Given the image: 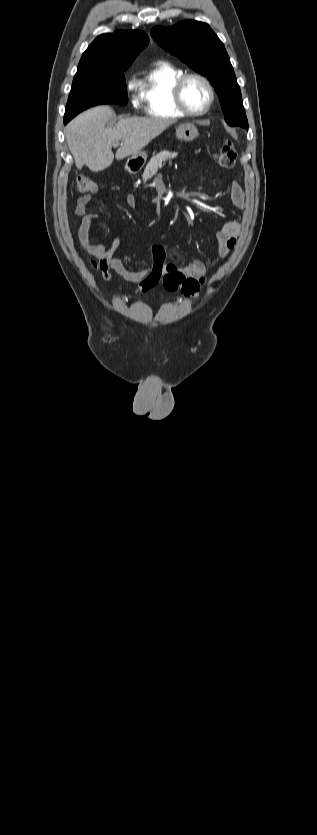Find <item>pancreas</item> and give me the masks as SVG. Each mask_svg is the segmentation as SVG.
Returning <instances> with one entry per match:
<instances>
[{"instance_id":"cf45deb5","label":"pancreas","mask_w":317,"mask_h":835,"mask_svg":"<svg viewBox=\"0 0 317 835\" xmlns=\"http://www.w3.org/2000/svg\"><path fill=\"white\" fill-rule=\"evenodd\" d=\"M177 155V152L162 151L153 156L144 170L142 176L143 181L146 182L150 179L157 173L159 168H161L168 160L175 158Z\"/></svg>"}]
</instances>
